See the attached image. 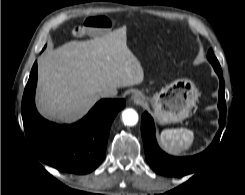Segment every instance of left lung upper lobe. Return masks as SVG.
<instances>
[{
    "label": "left lung upper lobe",
    "instance_id": "5c2ea615",
    "mask_svg": "<svg viewBox=\"0 0 245 195\" xmlns=\"http://www.w3.org/2000/svg\"><path fill=\"white\" fill-rule=\"evenodd\" d=\"M207 59L209 60V62L212 64V66L214 68H221L217 58L215 57V55L212 51V49L209 50L208 55H207Z\"/></svg>",
    "mask_w": 245,
    "mask_h": 195
}]
</instances>
